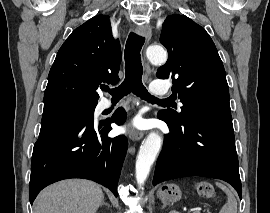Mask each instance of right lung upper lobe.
<instances>
[{
    "instance_id": "right-lung-upper-lobe-1",
    "label": "right lung upper lobe",
    "mask_w": 270,
    "mask_h": 213,
    "mask_svg": "<svg viewBox=\"0 0 270 213\" xmlns=\"http://www.w3.org/2000/svg\"><path fill=\"white\" fill-rule=\"evenodd\" d=\"M119 40L109 17L94 16L76 28L59 49L48 75L44 106L62 101L98 102L100 83H117Z\"/></svg>"
}]
</instances>
